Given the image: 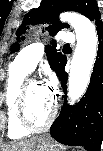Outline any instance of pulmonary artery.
Wrapping results in <instances>:
<instances>
[{
    "label": "pulmonary artery",
    "instance_id": "e3ab8cb5",
    "mask_svg": "<svg viewBox=\"0 0 103 151\" xmlns=\"http://www.w3.org/2000/svg\"><path fill=\"white\" fill-rule=\"evenodd\" d=\"M58 39L66 43H73L75 41L74 35L70 32L60 33ZM44 50V42H36L30 44L18 53L15 58V61L28 71H32L43 57Z\"/></svg>",
    "mask_w": 103,
    "mask_h": 151
}]
</instances>
